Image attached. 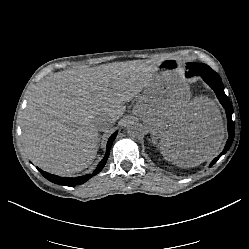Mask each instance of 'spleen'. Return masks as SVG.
I'll return each mask as SVG.
<instances>
[{
	"instance_id": "spleen-1",
	"label": "spleen",
	"mask_w": 249,
	"mask_h": 249,
	"mask_svg": "<svg viewBox=\"0 0 249 249\" xmlns=\"http://www.w3.org/2000/svg\"><path fill=\"white\" fill-rule=\"evenodd\" d=\"M160 149H161L162 154H163L164 156H167V155H168V152H169V150H170V147H168V146H163V145L160 144Z\"/></svg>"
}]
</instances>
